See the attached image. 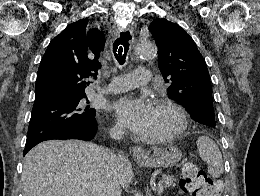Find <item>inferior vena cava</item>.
Here are the masks:
<instances>
[{
  "label": "inferior vena cava",
  "mask_w": 260,
  "mask_h": 196,
  "mask_svg": "<svg viewBox=\"0 0 260 196\" xmlns=\"http://www.w3.org/2000/svg\"><path fill=\"white\" fill-rule=\"evenodd\" d=\"M110 136L111 138H114V140H120V138H122L123 136V132L122 130H117V132H110ZM118 160L119 156H116V154H113V152H109V154H104V162L105 164H109L107 168L105 196H121L120 184L118 182L116 172V164Z\"/></svg>",
  "instance_id": "602c4592"
}]
</instances>
